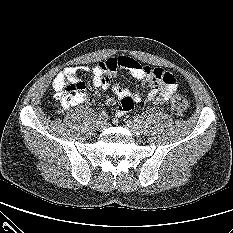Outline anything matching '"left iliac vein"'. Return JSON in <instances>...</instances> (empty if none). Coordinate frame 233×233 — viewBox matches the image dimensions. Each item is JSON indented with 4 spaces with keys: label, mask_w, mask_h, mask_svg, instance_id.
Listing matches in <instances>:
<instances>
[{
    "label": "left iliac vein",
    "mask_w": 233,
    "mask_h": 233,
    "mask_svg": "<svg viewBox=\"0 0 233 233\" xmlns=\"http://www.w3.org/2000/svg\"><path fill=\"white\" fill-rule=\"evenodd\" d=\"M125 126L126 128H128L130 130V132L134 135V136H139L141 133L140 127L137 123H135L134 121L131 120H127L125 122Z\"/></svg>",
    "instance_id": "left-iliac-vein-1"
}]
</instances>
